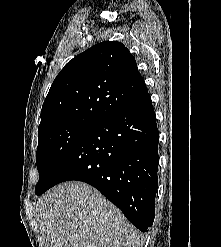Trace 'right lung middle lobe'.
Returning a JSON list of instances; mask_svg holds the SVG:
<instances>
[{
	"label": "right lung middle lobe",
	"mask_w": 221,
	"mask_h": 247,
	"mask_svg": "<svg viewBox=\"0 0 221 247\" xmlns=\"http://www.w3.org/2000/svg\"><path fill=\"white\" fill-rule=\"evenodd\" d=\"M95 125L75 122L38 132L36 164L39 181L35 188V194L47 185L63 160Z\"/></svg>",
	"instance_id": "dd1d6c3e"
}]
</instances>
